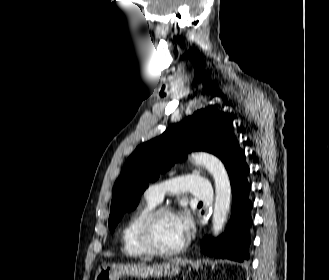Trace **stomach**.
<instances>
[{
  "instance_id": "stomach-1",
  "label": "stomach",
  "mask_w": 329,
  "mask_h": 280,
  "mask_svg": "<svg viewBox=\"0 0 329 280\" xmlns=\"http://www.w3.org/2000/svg\"><path fill=\"white\" fill-rule=\"evenodd\" d=\"M180 272L179 262L172 260L167 263L147 265L139 264H102L99 266L95 280H119L122 276L136 277H172Z\"/></svg>"
}]
</instances>
